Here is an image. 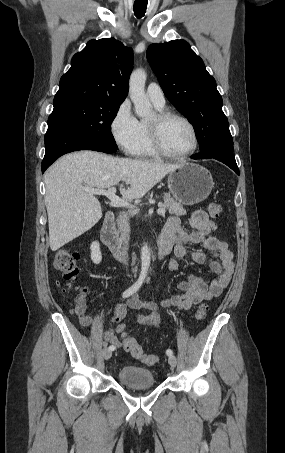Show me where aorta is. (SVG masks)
<instances>
[{
    "label": "aorta",
    "instance_id": "1",
    "mask_svg": "<svg viewBox=\"0 0 285 453\" xmlns=\"http://www.w3.org/2000/svg\"><path fill=\"white\" fill-rule=\"evenodd\" d=\"M146 72L136 69L129 81V94L134 104L135 113L139 117H147L152 112L151 103L145 94ZM151 252L147 244L141 248V273L146 274L150 267Z\"/></svg>",
    "mask_w": 285,
    "mask_h": 453
}]
</instances>
